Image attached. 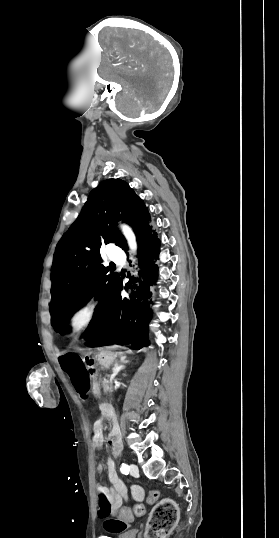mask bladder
Returning <instances> with one entry per match:
<instances>
[{
  "label": "bladder",
  "instance_id": "31cf9c89",
  "mask_svg": "<svg viewBox=\"0 0 279 538\" xmlns=\"http://www.w3.org/2000/svg\"><path fill=\"white\" fill-rule=\"evenodd\" d=\"M116 538H137L136 532H118Z\"/></svg>",
  "mask_w": 279,
  "mask_h": 538
}]
</instances>
